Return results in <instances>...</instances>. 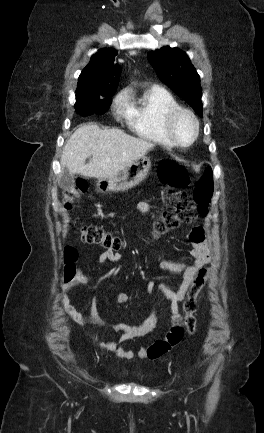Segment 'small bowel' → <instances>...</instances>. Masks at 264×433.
I'll return each instance as SVG.
<instances>
[{
  "label": "small bowel",
  "mask_w": 264,
  "mask_h": 433,
  "mask_svg": "<svg viewBox=\"0 0 264 433\" xmlns=\"http://www.w3.org/2000/svg\"><path fill=\"white\" fill-rule=\"evenodd\" d=\"M139 209L142 212H147L150 209L148 202H140ZM188 240L191 245L189 263L176 262L171 260H162L160 267L163 270L179 274L181 281L177 289L171 288L165 283L158 284L159 290L163 293L164 297L171 303V322L172 326L166 336L157 340L152 345L141 349L138 353L131 350H126L118 345L131 340L136 337L144 336L152 332L158 325L159 314L154 310L144 321L139 324H130L121 322L117 324L106 323L101 319L95 310L94 301H92V315L85 316L70 302L67 291L78 286L88 284L92 281V277L86 273L78 271L65 285L64 293L62 295V305L66 313L78 325H96L106 327L114 332L120 333L118 342L112 343H97V345L106 351L113 352L118 359H157L165 353L169 352L177 346L183 339L185 333L184 317L179 313V303L184 299L187 291L194 280L197 272L205 266L210 260V250L206 243L204 229L200 226L194 227L188 234ZM121 260V255L111 250H104L98 258L100 264L106 262H118ZM155 283L153 281L147 282V290L153 295L155 291ZM127 295L120 293L117 296V301L120 304L127 302Z\"/></svg>",
  "instance_id": "1"
}]
</instances>
